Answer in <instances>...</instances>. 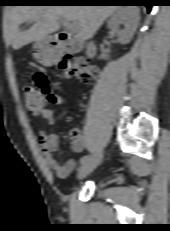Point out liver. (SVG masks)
I'll list each match as a JSON object with an SVG mask.
<instances>
[{"label":"liver","instance_id":"1","mask_svg":"<svg viewBox=\"0 0 170 231\" xmlns=\"http://www.w3.org/2000/svg\"><path fill=\"white\" fill-rule=\"evenodd\" d=\"M121 7L115 5L14 6L9 9L5 34L13 49L39 41L60 29L59 20L72 23L80 40L91 39L102 23ZM24 23L32 24L21 29Z\"/></svg>","mask_w":170,"mask_h":231}]
</instances>
